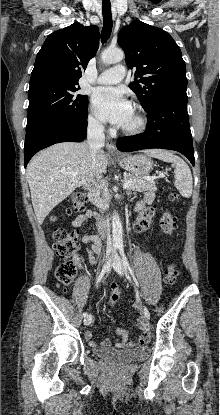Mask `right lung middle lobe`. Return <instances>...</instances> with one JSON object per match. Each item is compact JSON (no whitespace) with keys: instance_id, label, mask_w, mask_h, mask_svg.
Returning a JSON list of instances; mask_svg holds the SVG:
<instances>
[{"instance_id":"right-lung-middle-lobe-1","label":"right lung middle lobe","mask_w":220,"mask_h":415,"mask_svg":"<svg viewBox=\"0 0 220 415\" xmlns=\"http://www.w3.org/2000/svg\"><path fill=\"white\" fill-rule=\"evenodd\" d=\"M78 82L54 78L30 80L26 131L47 121L71 124L85 119L88 97L76 92Z\"/></svg>"}]
</instances>
